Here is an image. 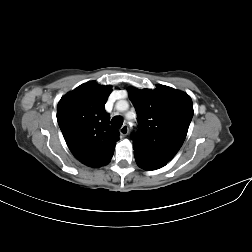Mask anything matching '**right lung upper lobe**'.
<instances>
[{"label": "right lung upper lobe", "instance_id": "cb5924a9", "mask_svg": "<svg viewBox=\"0 0 252 252\" xmlns=\"http://www.w3.org/2000/svg\"><path fill=\"white\" fill-rule=\"evenodd\" d=\"M112 91L94 81L84 83L61 98L57 121L72 154L90 167L107 165L119 140V131L109 125L104 105Z\"/></svg>", "mask_w": 252, "mask_h": 252}]
</instances>
